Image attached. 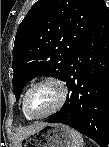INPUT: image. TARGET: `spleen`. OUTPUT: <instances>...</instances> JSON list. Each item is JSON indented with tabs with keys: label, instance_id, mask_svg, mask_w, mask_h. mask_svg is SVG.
<instances>
[{
	"label": "spleen",
	"instance_id": "1",
	"mask_svg": "<svg viewBox=\"0 0 109 147\" xmlns=\"http://www.w3.org/2000/svg\"><path fill=\"white\" fill-rule=\"evenodd\" d=\"M72 147H84V139L77 131L72 130Z\"/></svg>",
	"mask_w": 109,
	"mask_h": 147
}]
</instances>
